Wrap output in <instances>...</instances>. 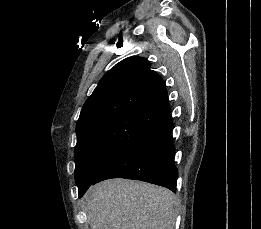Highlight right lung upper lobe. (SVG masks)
<instances>
[{
	"instance_id": "right-lung-upper-lobe-1",
	"label": "right lung upper lobe",
	"mask_w": 261,
	"mask_h": 229,
	"mask_svg": "<svg viewBox=\"0 0 261 229\" xmlns=\"http://www.w3.org/2000/svg\"><path fill=\"white\" fill-rule=\"evenodd\" d=\"M169 115L163 79L145 58L129 57L103 76L85 102L76 126L77 145L133 147L137 131H153Z\"/></svg>"
}]
</instances>
